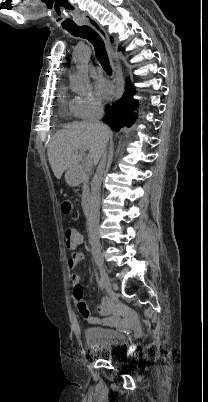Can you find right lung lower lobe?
Returning a JSON list of instances; mask_svg holds the SVG:
<instances>
[{"instance_id":"1","label":"right lung lower lobe","mask_w":208,"mask_h":402,"mask_svg":"<svg viewBox=\"0 0 208 402\" xmlns=\"http://www.w3.org/2000/svg\"><path fill=\"white\" fill-rule=\"evenodd\" d=\"M125 93L120 100L107 105L105 107V116L103 122L109 125L113 130L119 131L121 127H130L134 123L136 114L132 113L133 109H136L139 104L138 101L133 99V93L135 92L131 82L126 81Z\"/></svg>"}]
</instances>
